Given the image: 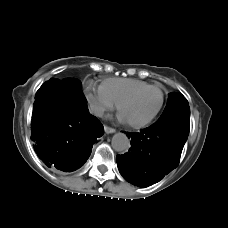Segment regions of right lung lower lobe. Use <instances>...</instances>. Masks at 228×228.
Returning <instances> with one entry per match:
<instances>
[{
  "label": "right lung lower lobe",
  "instance_id": "obj_1",
  "mask_svg": "<svg viewBox=\"0 0 228 228\" xmlns=\"http://www.w3.org/2000/svg\"><path fill=\"white\" fill-rule=\"evenodd\" d=\"M103 133L102 124L88 112L83 93L69 100L65 89L50 81L37 91L31 139L36 154L48 166L69 172L80 168Z\"/></svg>",
  "mask_w": 228,
  "mask_h": 228
}]
</instances>
